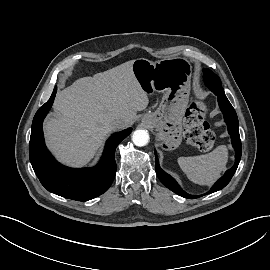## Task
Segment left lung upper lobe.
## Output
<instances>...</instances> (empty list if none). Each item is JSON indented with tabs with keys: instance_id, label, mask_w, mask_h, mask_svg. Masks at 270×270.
<instances>
[{
	"instance_id": "1",
	"label": "left lung upper lobe",
	"mask_w": 270,
	"mask_h": 270,
	"mask_svg": "<svg viewBox=\"0 0 270 270\" xmlns=\"http://www.w3.org/2000/svg\"><path fill=\"white\" fill-rule=\"evenodd\" d=\"M204 81L211 91H213L217 96L226 97L224 90L221 86V81L219 77L213 73L210 69H204Z\"/></svg>"
}]
</instances>
